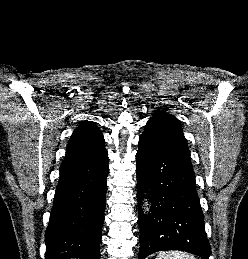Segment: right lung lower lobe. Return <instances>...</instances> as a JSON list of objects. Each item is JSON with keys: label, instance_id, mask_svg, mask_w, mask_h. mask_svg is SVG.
I'll return each instance as SVG.
<instances>
[{"label": "right lung lower lobe", "instance_id": "98d812e1", "mask_svg": "<svg viewBox=\"0 0 248 259\" xmlns=\"http://www.w3.org/2000/svg\"><path fill=\"white\" fill-rule=\"evenodd\" d=\"M108 173L107 151L94 159L61 165L45 233V259H100Z\"/></svg>", "mask_w": 248, "mask_h": 259}]
</instances>
